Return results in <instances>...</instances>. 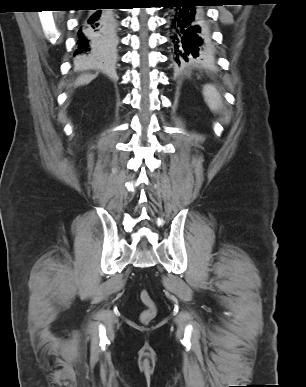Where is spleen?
Masks as SVG:
<instances>
[{"instance_id":"1","label":"spleen","mask_w":306,"mask_h":387,"mask_svg":"<svg viewBox=\"0 0 306 387\" xmlns=\"http://www.w3.org/2000/svg\"><path fill=\"white\" fill-rule=\"evenodd\" d=\"M203 96L206 104L208 105L211 111H219L222 106V100L220 93L214 85H205L203 88Z\"/></svg>"}]
</instances>
